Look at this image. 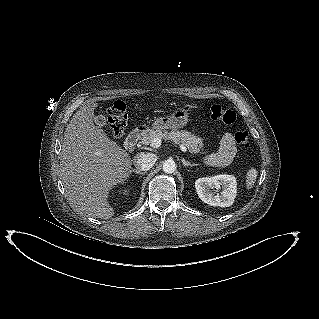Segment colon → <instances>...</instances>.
Segmentation results:
<instances>
[{"label":"colon","mask_w":319,"mask_h":319,"mask_svg":"<svg viewBox=\"0 0 319 319\" xmlns=\"http://www.w3.org/2000/svg\"><path fill=\"white\" fill-rule=\"evenodd\" d=\"M108 116V125L114 137H120L124 133L127 126V108L123 101H115L106 108ZM206 117L224 123L234 132V141L241 148L248 150L250 148V140L246 131L238 130L236 122V114L234 111L225 109L219 105H209L206 107Z\"/></svg>","instance_id":"1"}]
</instances>
